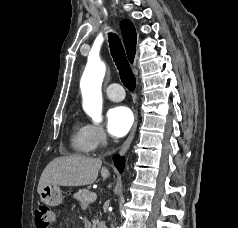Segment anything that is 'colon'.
<instances>
[{
    "mask_svg": "<svg viewBox=\"0 0 238 228\" xmlns=\"http://www.w3.org/2000/svg\"><path fill=\"white\" fill-rule=\"evenodd\" d=\"M55 220L52 209L46 205H40L35 209V224L37 228H51Z\"/></svg>",
    "mask_w": 238,
    "mask_h": 228,
    "instance_id": "5ec220e1",
    "label": "colon"
}]
</instances>
